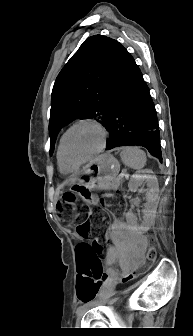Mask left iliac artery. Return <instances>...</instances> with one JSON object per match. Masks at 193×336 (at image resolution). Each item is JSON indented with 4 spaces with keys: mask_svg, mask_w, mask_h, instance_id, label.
I'll return each instance as SVG.
<instances>
[{
    "mask_svg": "<svg viewBox=\"0 0 193 336\" xmlns=\"http://www.w3.org/2000/svg\"><path fill=\"white\" fill-rule=\"evenodd\" d=\"M87 305H89V303H87V304H85V305L79 307V308L77 309V314H80L81 312H83V311L85 310V306H87Z\"/></svg>",
    "mask_w": 193,
    "mask_h": 336,
    "instance_id": "1",
    "label": "left iliac artery"
}]
</instances>
